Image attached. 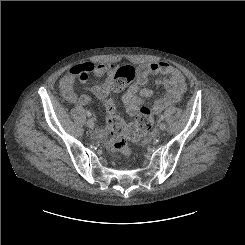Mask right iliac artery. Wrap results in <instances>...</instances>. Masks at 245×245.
I'll return each mask as SVG.
<instances>
[{
  "mask_svg": "<svg viewBox=\"0 0 245 245\" xmlns=\"http://www.w3.org/2000/svg\"><path fill=\"white\" fill-rule=\"evenodd\" d=\"M86 114H87L88 117L91 116V112L90 111H86Z\"/></svg>",
  "mask_w": 245,
  "mask_h": 245,
  "instance_id": "82829eb1",
  "label": "right iliac artery"
}]
</instances>
